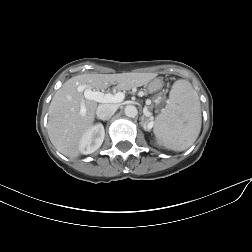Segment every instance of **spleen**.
Wrapping results in <instances>:
<instances>
[{
  "mask_svg": "<svg viewBox=\"0 0 252 252\" xmlns=\"http://www.w3.org/2000/svg\"><path fill=\"white\" fill-rule=\"evenodd\" d=\"M202 118L198 94L188 80L174 82L164 111L154 123L157 140L167 149L184 151L198 138Z\"/></svg>",
  "mask_w": 252,
  "mask_h": 252,
  "instance_id": "spleen-1",
  "label": "spleen"
}]
</instances>
